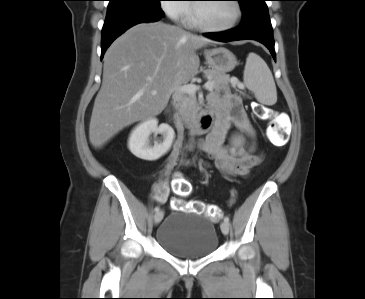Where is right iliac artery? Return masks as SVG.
Here are the masks:
<instances>
[{
    "instance_id": "right-iliac-artery-1",
    "label": "right iliac artery",
    "mask_w": 365,
    "mask_h": 299,
    "mask_svg": "<svg viewBox=\"0 0 365 299\" xmlns=\"http://www.w3.org/2000/svg\"><path fill=\"white\" fill-rule=\"evenodd\" d=\"M160 210V207L159 206H156L155 208H154V211L155 212H158Z\"/></svg>"
}]
</instances>
